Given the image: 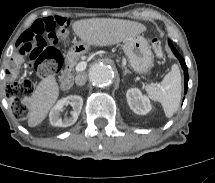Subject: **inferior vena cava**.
Here are the masks:
<instances>
[{"mask_svg":"<svg viewBox=\"0 0 215 183\" xmlns=\"http://www.w3.org/2000/svg\"><path fill=\"white\" fill-rule=\"evenodd\" d=\"M87 81V75L86 73H80L75 77V83L79 86H82Z\"/></svg>","mask_w":215,"mask_h":183,"instance_id":"602c4592","label":"inferior vena cava"}]
</instances>
